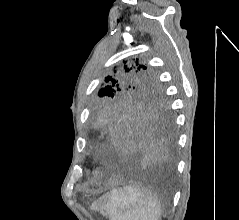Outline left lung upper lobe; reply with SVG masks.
<instances>
[{
    "label": "left lung upper lobe",
    "mask_w": 239,
    "mask_h": 220,
    "mask_svg": "<svg viewBox=\"0 0 239 220\" xmlns=\"http://www.w3.org/2000/svg\"><path fill=\"white\" fill-rule=\"evenodd\" d=\"M98 96L91 108L94 125L100 112L116 106L167 112V100L155 80L154 71L138 59L124 67L118 66L105 77Z\"/></svg>",
    "instance_id": "5c2ea615"
}]
</instances>
